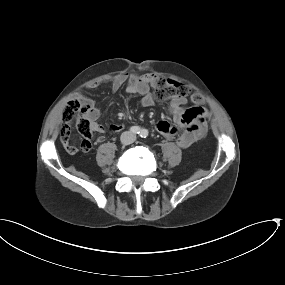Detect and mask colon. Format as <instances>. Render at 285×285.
Segmentation results:
<instances>
[{
  "label": "colon",
  "mask_w": 285,
  "mask_h": 285,
  "mask_svg": "<svg viewBox=\"0 0 285 285\" xmlns=\"http://www.w3.org/2000/svg\"><path fill=\"white\" fill-rule=\"evenodd\" d=\"M153 89L155 96L160 100H167L175 97H186L189 95V88L179 82L173 80H166L164 78H155L153 82ZM191 102L200 107L203 100L200 95H191ZM91 104L87 98L80 97L70 100L63 113V126L61 128V138L65 140L66 132L69 128V123L74 121L79 133L85 139H91L92 126L89 120V113Z\"/></svg>",
  "instance_id": "1"
}]
</instances>
